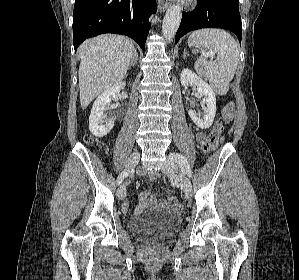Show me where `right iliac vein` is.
Here are the masks:
<instances>
[{
  "label": "right iliac vein",
  "instance_id": "63e3f726",
  "mask_svg": "<svg viewBox=\"0 0 299 280\" xmlns=\"http://www.w3.org/2000/svg\"><path fill=\"white\" fill-rule=\"evenodd\" d=\"M140 153L134 152L128 159L126 163L127 169H133L139 162ZM117 196L119 199L123 200L126 196V186L124 184L120 185L117 190Z\"/></svg>",
  "mask_w": 299,
  "mask_h": 280
}]
</instances>
